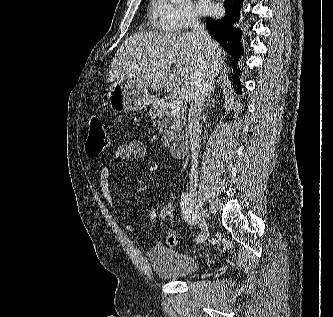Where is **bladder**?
Returning a JSON list of instances; mask_svg holds the SVG:
<instances>
[{"mask_svg": "<svg viewBox=\"0 0 333 317\" xmlns=\"http://www.w3.org/2000/svg\"><path fill=\"white\" fill-rule=\"evenodd\" d=\"M147 257L155 274L162 279L188 278L200 268L195 257L161 244L152 246L147 252Z\"/></svg>", "mask_w": 333, "mask_h": 317, "instance_id": "obj_1", "label": "bladder"}]
</instances>
